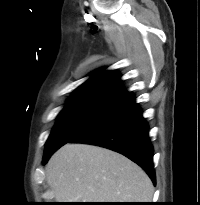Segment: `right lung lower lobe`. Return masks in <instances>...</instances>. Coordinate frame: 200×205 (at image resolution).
<instances>
[{"label": "right lung lower lobe", "instance_id": "98d812e1", "mask_svg": "<svg viewBox=\"0 0 200 205\" xmlns=\"http://www.w3.org/2000/svg\"><path fill=\"white\" fill-rule=\"evenodd\" d=\"M68 142L88 143L119 152L142 167L155 184L148 124L131 93L118 99L110 109ZM56 150L45 157L43 164Z\"/></svg>", "mask_w": 200, "mask_h": 205}]
</instances>
